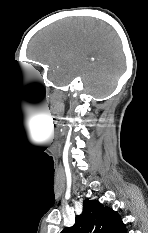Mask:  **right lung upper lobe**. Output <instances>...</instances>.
Here are the masks:
<instances>
[{"label":"right lung upper lobe","mask_w":148,"mask_h":233,"mask_svg":"<svg viewBox=\"0 0 148 233\" xmlns=\"http://www.w3.org/2000/svg\"><path fill=\"white\" fill-rule=\"evenodd\" d=\"M61 233H127L125 224L113 209L96 200L83 202L82 214L76 216L75 224Z\"/></svg>","instance_id":"right-lung-upper-lobe-1"}]
</instances>
